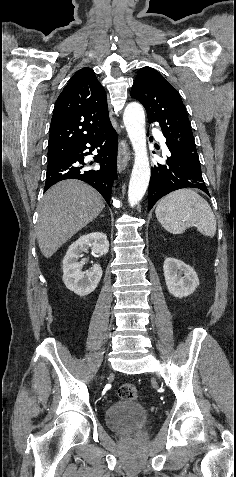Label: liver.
<instances>
[{"label": "liver", "mask_w": 236, "mask_h": 477, "mask_svg": "<svg viewBox=\"0 0 236 477\" xmlns=\"http://www.w3.org/2000/svg\"><path fill=\"white\" fill-rule=\"evenodd\" d=\"M103 208L102 196L83 182L65 180L52 186L38 206L37 241L43 256L50 258Z\"/></svg>", "instance_id": "obj_1"}]
</instances>
